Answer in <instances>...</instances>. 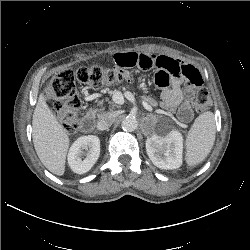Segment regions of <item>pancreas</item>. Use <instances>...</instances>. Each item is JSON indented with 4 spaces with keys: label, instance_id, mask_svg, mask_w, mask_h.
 Listing matches in <instances>:
<instances>
[{
    "label": "pancreas",
    "instance_id": "obj_1",
    "mask_svg": "<svg viewBox=\"0 0 250 250\" xmlns=\"http://www.w3.org/2000/svg\"><path fill=\"white\" fill-rule=\"evenodd\" d=\"M98 104L100 105V107H99V108H96V109H93V112H94V113H97V115L100 116V115L103 113V111L105 110V106H104L103 101H99ZM108 104H109V106H110L111 108L117 107L116 104H113V103L110 102V101L108 102ZM152 104H153V105H156L155 102H152Z\"/></svg>",
    "mask_w": 250,
    "mask_h": 250
}]
</instances>
